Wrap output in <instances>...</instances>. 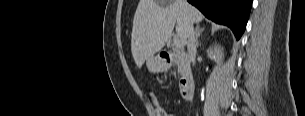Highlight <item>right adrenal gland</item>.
Returning <instances> with one entry per match:
<instances>
[{"mask_svg":"<svg viewBox=\"0 0 305 116\" xmlns=\"http://www.w3.org/2000/svg\"><path fill=\"white\" fill-rule=\"evenodd\" d=\"M204 31V28H200L199 26H196L195 28V40H196V46H199L198 37L200 34Z\"/></svg>","mask_w":305,"mask_h":116,"instance_id":"obj_1","label":"right adrenal gland"}]
</instances>
